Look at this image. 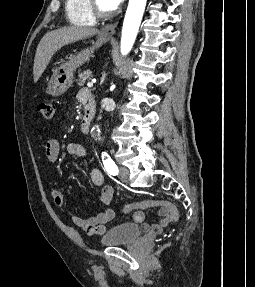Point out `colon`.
Instances as JSON below:
<instances>
[{
	"mask_svg": "<svg viewBox=\"0 0 255 287\" xmlns=\"http://www.w3.org/2000/svg\"><path fill=\"white\" fill-rule=\"evenodd\" d=\"M38 110L43 119H45L46 121H50L53 119L55 109L52 103L46 101L41 102L38 106ZM152 206L163 207L167 211L172 223L177 224L179 222L180 214L177 208L172 203L163 200L148 199L138 202L127 203L123 206L122 212L127 214L135 210H141Z\"/></svg>",
	"mask_w": 255,
	"mask_h": 287,
	"instance_id": "colon-1",
	"label": "colon"
}]
</instances>
